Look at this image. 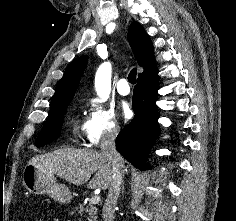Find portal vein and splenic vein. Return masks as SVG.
<instances>
[{
	"mask_svg": "<svg viewBox=\"0 0 236 221\" xmlns=\"http://www.w3.org/2000/svg\"><path fill=\"white\" fill-rule=\"evenodd\" d=\"M100 202V196H98V195H95V196H93L92 198H91V203L92 204H98Z\"/></svg>",
	"mask_w": 236,
	"mask_h": 221,
	"instance_id": "obj_1",
	"label": "portal vein and splenic vein"
}]
</instances>
